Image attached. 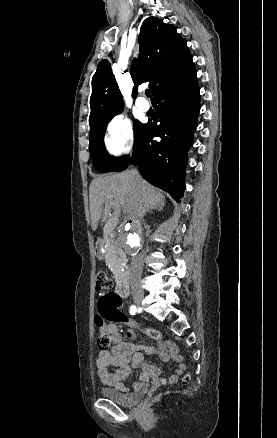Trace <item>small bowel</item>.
<instances>
[{
    "label": "small bowel",
    "mask_w": 277,
    "mask_h": 438,
    "mask_svg": "<svg viewBox=\"0 0 277 438\" xmlns=\"http://www.w3.org/2000/svg\"><path fill=\"white\" fill-rule=\"evenodd\" d=\"M128 325V336L132 339L136 338L137 335L134 332V327H136L137 324L134 321H128ZM106 331L114 336V343L110 350H103L99 353L96 360L97 373L104 385L126 392L128 391V387L124 382L129 378L131 368L139 365L142 355L137 352V347L133 343L122 339L116 325H109ZM153 347L156 350L160 349L161 359L167 361L173 358L176 361L178 368L171 376L170 381H177L186 369L183 358L179 355L178 348L170 342H167L165 344V347L169 349L167 351L159 341L154 342ZM148 352L152 353L153 349H148ZM143 365L144 372L141 375L140 382L135 385V388L144 386L151 379L159 381L161 378L159 371L151 366V360H144Z\"/></svg>",
    "instance_id": "c3829d8e"
}]
</instances>
